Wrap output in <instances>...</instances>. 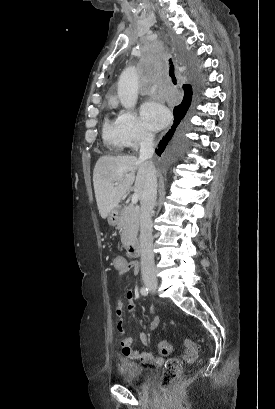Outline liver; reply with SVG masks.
<instances>
[{
	"mask_svg": "<svg viewBox=\"0 0 275 409\" xmlns=\"http://www.w3.org/2000/svg\"><path fill=\"white\" fill-rule=\"evenodd\" d=\"M148 168V160L138 156H100L93 170V184L98 211L106 219L134 184L140 200ZM137 174L135 176V172ZM117 182V184H115Z\"/></svg>",
	"mask_w": 275,
	"mask_h": 409,
	"instance_id": "obj_1",
	"label": "liver"
}]
</instances>
